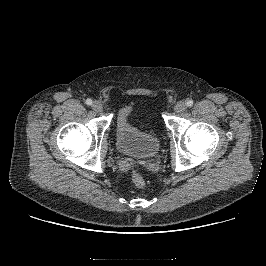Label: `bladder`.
<instances>
[{
    "label": "bladder",
    "mask_w": 266,
    "mask_h": 266,
    "mask_svg": "<svg viewBox=\"0 0 266 266\" xmlns=\"http://www.w3.org/2000/svg\"><path fill=\"white\" fill-rule=\"evenodd\" d=\"M132 109L119 110L116 121V147L127 156L150 159L160 150V139L153 133L143 130L131 121Z\"/></svg>",
    "instance_id": "1"
}]
</instances>
